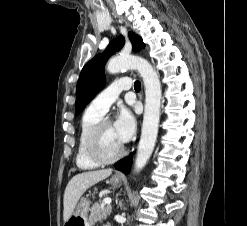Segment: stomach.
<instances>
[{"label": "stomach", "instance_id": "1", "mask_svg": "<svg viewBox=\"0 0 247 226\" xmlns=\"http://www.w3.org/2000/svg\"><path fill=\"white\" fill-rule=\"evenodd\" d=\"M121 178L113 176L110 179V184L113 187H118L121 184ZM90 201L86 197H82L76 209L73 211L69 219L64 223V226H91L88 219Z\"/></svg>", "mask_w": 247, "mask_h": 226}]
</instances>
